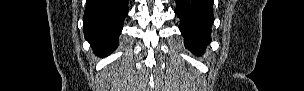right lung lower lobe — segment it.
<instances>
[{"mask_svg":"<svg viewBox=\"0 0 304 91\" xmlns=\"http://www.w3.org/2000/svg\"><path fill=\"white\" fill-rule=\"evenodd\" d=\"M127 14L128 0H86L84 36L97 55H109L117 48Z\"/></svg>","mask_w":304,"mask_h":91,"instance_id":"98d812e1","label":"right lung lower lobe"}]
</instances>
